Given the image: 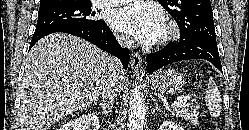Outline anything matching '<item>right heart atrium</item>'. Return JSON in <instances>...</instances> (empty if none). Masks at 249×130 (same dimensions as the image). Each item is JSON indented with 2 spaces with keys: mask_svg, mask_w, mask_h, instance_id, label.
<instances>
[{
  "mask_svg": "<svg viewBox=\"0 0 249 130\" xmlns=\"http://www.w3.org/2000/svg\"><path fill=\"white\" fill-rule=\"evenodd\" d=\"M117 38L120 42H126V38L123 36L118 35Z\"/></svg>",
  "mask_w": 249,
  "mask_h": 130,
  "instance_id": "1",
  "label": "right heart atrium"
}]
</instances>
